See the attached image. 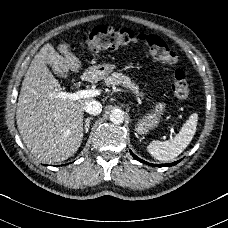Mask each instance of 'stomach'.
<instances>
[{"label":"stomach","mask_w":228,"mask_h":228,"mask_svg":"<svg viewBox=\"0 0 228 228\" xmlns=\"http://www.w3.org/2000/svg\"><path fill=\"white\" fill-rule=\"evenodd\" d=\"M114 69L115 65L113 64H99L96 66H91L88 69H86L84 72V76L87 79L98 81L108 77ZM164 110L165 105L163 103H158L151 113L147 114L138 121L136 132L139 134H143L157 127L161 120Z\"/></svg>","instance_id":"0dacf381"}]
</instances>
